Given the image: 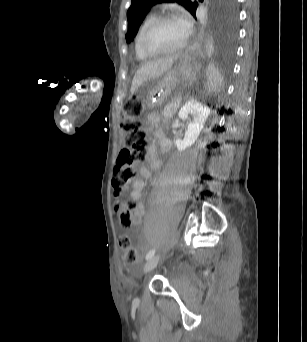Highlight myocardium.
Instances as JSON below:
<instances>
[{
    "label": "myocardium",
    "mask_w": 307,
    "mask_h": 342,
    "mask_svg": "<svg viewBox=\"0 0 307 342\" xmlns=\"http://www.w3.org/2000/svg\"><path fill=\"white\" fill-rule=\"evenodd\" d=\"M162 22H175V23L181 24V21L179 20V18H177L173 15H168V14L157 15L147 23V25L145 26V28H144L141 36H140L139 45H140L141 52L145 56L152 58V59L179 54L182 51H184V49L188 45V39L185 36L183 42L178 47H176L174 49L163 51V52H152V51L148 50V48L146 47V40H147L148 36L150 35V33L152 32V30Z\"/></svg>",
    "instance_id": "obj_1"
}]
</instances>
